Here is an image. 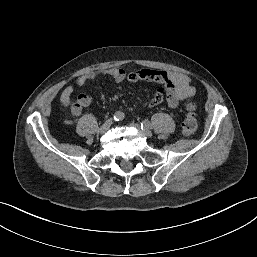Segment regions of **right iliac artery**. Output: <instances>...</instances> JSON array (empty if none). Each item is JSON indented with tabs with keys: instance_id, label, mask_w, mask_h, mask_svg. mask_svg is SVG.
Instances as JSON below:
<instances>
[{
	"instance_id": "obj_1",
	"label": "right iliac artery",
	"mask_w": 257,
	"mask_h": 257,
	"mask_svg": "<svg viewBox=\"0 0 257 257\" xmlns=\"http://www.w3.org/2000/svg\"><path fill=\"white\" fill-rule=\"evenodd\" d=\"M113 118L115 121H120L124 118V113L118 111L114 114Z\"/></svg>"
}]
</instances>
